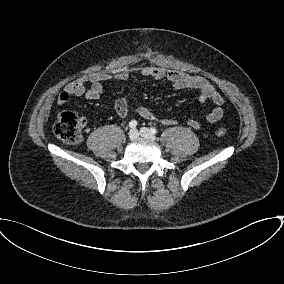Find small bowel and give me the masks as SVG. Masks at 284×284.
<instances>
[{"label":"small bowel","mask_w":284,"mask_h":284,"mask_svg":"<svg viewBox=\"0 0 284 284\" xmlns=\"http://www.w3.org/2000/svg\"><path fill=\"white\" fill-rule=\"evenodd\" d=\"M141 75L153 78L156 80H166L173 88L193 89L199 92V103L210 101L213 104L212 110L205 116L204 121L207 123H215L219 121L224 114L223 104L224 97L215 89V87L204 77L190 75L177 70H167L158 67L144 66L140 69ZM130 78V73L127 68H119L113 72H93L83 75L72 82L68 83L57 97L59 105H65L73 96H84L89 100H97L104 93V82L109 79H117L127 81ZM89 85V86H87ZM115 111L121 118L127 116L128 103L123 97H120L115 102ZM138 114L146 120H158L155 114L147 107H140ZM81 126L86 124L85 118H80ZM162 124L171 126L175 125L176 121L170 118L159 120ZM202 122L198 119L191 118L188 120V125L193 129H199Z\"/></svg>","instance_id":"obj_1"}]
</instances>
